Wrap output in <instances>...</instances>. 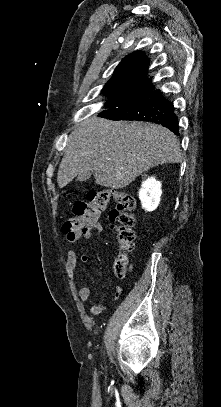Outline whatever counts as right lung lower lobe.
Returning a JSON list of instances; mask_svg holds the SVG:
<instances>
[{
    "mask_svg": "<svg viewBox=\"0 0 221 407\" xmlns=\"http://www.w3.org/2000/svg\"><path fill=\"white\" fill-rule=\"evenodd\" d=\"M100 115L112 120L150 121L165 126L176 135L179 134L173 104L164 98L159 90H155L152 81L109 105Z\"/></svg>",
    "mask_w": 221,
    "mask_h": 407,
    "instance_id": "98d812e1",
    "label": "right lung lower lobe"
}]
</instances>
